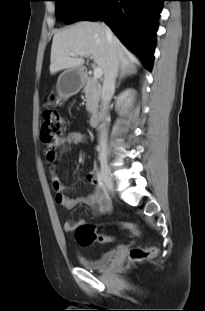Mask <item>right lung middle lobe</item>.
Wrapping results in <instances>:
<instances>
[{"label":"right lung middle lobe","instance_id":"dd1d6c3e","mask_svg":"<svg viewBox=\"0 0 205 311\" xmlns=\"http://www.w3.org/2000/svg\"><path fill=\"white\" fill-rule=\"evenodd\" d=\"M56 3V17L58 20L71 24L94 13L103 0H53Z\"/></svg>","mask_w":205,"mask_h":311}]
</instances>
